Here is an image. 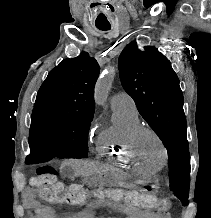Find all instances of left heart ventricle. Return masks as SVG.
<instances>
[{
  "label": "left heart ventricle",
  "instance_id": "obj_1",
  "mask_svg": "<svg viewBox=\"0 0 211 218\" xmlns=\"http://www.w3.org/2000/svg\"><path fill=\"white\" fill-rule=\"evenodd\" d=\"M139 159L145 163L160 165L162 153L157 140L149 133H143L140 136L137 148Z\"/></svg>",
  "mask_w": 211,
  "mask_h": 218
}]
</instances>
